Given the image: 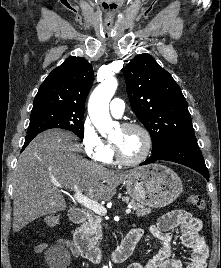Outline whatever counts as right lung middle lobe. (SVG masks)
<instances>
[{"label": "right lung middle lobe", "mask_w": 221, "mask_h": 268, "mask_svg": "<svg viewBox=\"0 0 221 268\" xmlns=\"http://www.w3.org/2000/svg\"><path fill=\"white\" fill-rule=\"evenodd\" d=\"M84 113L64 109L31 111L27 135H37L47 129L61 128L72 131L81 140L84 135Z\"/></svg>", "instance_id": "right-lung-middle-lobe-1"}]
</instances>
